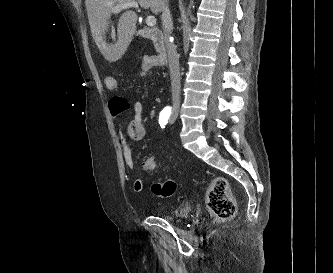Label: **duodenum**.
Listing matches in <instances>:
<instances>
[{"label":"duodenum","instance_id":"duodenum-1","mask_svg":"<svg viewBox=\"0 0 333 273\" xmlns=\"http://www.w3.org/2000/svg\"><path fill=\"white\" fill-rule=\"evenodd\" d=\"M140 35L145 39L153 41L160 61L163 64H166L168 61V49L170 44L165 37L164 32L160 28L144 29L140 32Z\"/></svg>","mask_w":333,"mask_h":273}]
</instances>
